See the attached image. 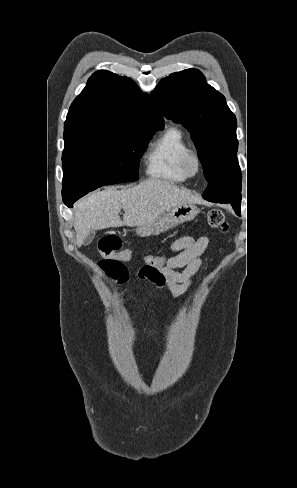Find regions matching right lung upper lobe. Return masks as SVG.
<instances>
[{
	"label": "right lung upper lobe",
	"mask_w": 297,
	"mask_h": 488,
	"mask_svg": "<svg viewBox=\"0 0 297 488\" xmlns=\"http://www.w3.org/2000/svg\"><path fill=\"white\" fill-rule=\"evenodd\" d=\"M145 125L164 126L149 95L131 79L101 70L73 101L64 124V141L123 135Z\"/></svg>",
	"instance_id": "right-lung-upper-lobe-1"
}]
</instances>
